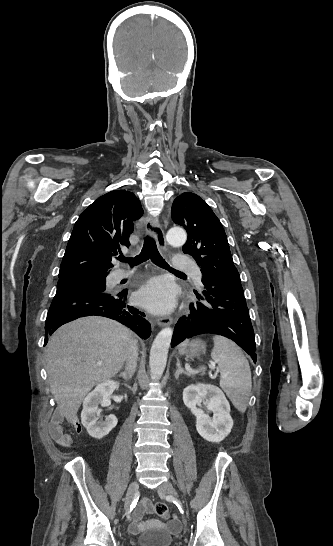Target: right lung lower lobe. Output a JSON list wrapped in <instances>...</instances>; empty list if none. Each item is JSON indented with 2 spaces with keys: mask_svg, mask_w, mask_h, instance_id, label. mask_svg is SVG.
Masks as SVG:
<instances>
[{
  "mask_svg": "<svg viewBox=\"0 0 333 546\" xmlns=\"http://www.w3.org/2000/svg\"><path fill=\"white\" fill-rule=\"evenodd\" d=\"M104 316L117 320L135 331L142 339L151 333L145 314L127 302V290L108 294L97 290L71 291L55 295L45 322L46 337L61 325L84 316Z\"/></svg>",
  "mask_w": 333,
  "mask_h": 546,
  "instance_id": "right-lung-lower-lobe-1",
  "label": "right lung lower lobe"
}]
</instances>
